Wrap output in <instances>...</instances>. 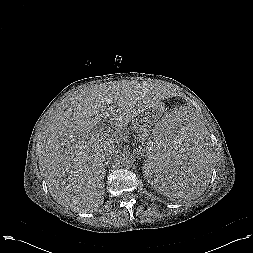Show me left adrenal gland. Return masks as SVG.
I'll list each match as a JSON object with an SVG mask.
<instances>
[{"mask_svg": "<svg viewBox=\"0 0 253 253\" xmlns=\"http://www.w3.org/2000/svg\"><path fill=\"white\" fill-rule=\"evenodd\" d=\"M136 152L139 153V155H142L143 150L140 148V149H137Z\"/></svg>", "mask_w": 253, "mask_h": 253, "instance_id": "1", "label": "left adrenal gland"}]
</instances>
